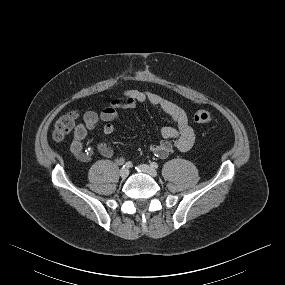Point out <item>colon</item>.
<instances>
[{
  "label": "colon",
  "instance_id": "colon-1",
  "mask_svg": "<svg viewBox=\"0 0 285 285\" xmlns=\"http://www.w3.org/2000/svg\"><path fill=\"white\" fill-rule=\"evenodd\" d=\"M77 113L72 111L62 116L55 124L53 139L62 141L69 136L75 127ZM194 120L197 123L206 124L212 120L211 113L206 109H199L194 113Z\"/></svg>",
  "mask_w": 285,
  "mask_h": 285
}]
</instances>
